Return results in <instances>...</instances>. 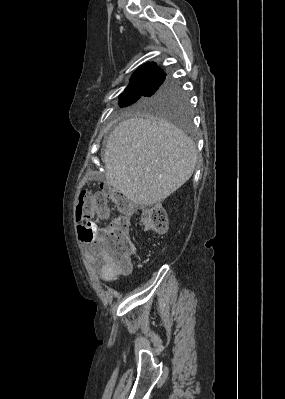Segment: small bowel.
I'll use <instances>...</instances> for the list:
<instances>
[{
  "label": "small bowel",
  "mask_w": 285,
  "mask_h": 399,
  "mask_svg": "<svg viewBox=\"0 0 285 399\" xmlns=\"http://www.w3.org/2000/svg\"><path fill=\"white\" fill-rule=\"evenodd\" d=\"M82 226H85L86 230H94L96 228L94 224H91L89 226L82 224ZM100 271H101V276L105 281H111L118 275V271L115 270V268L111 265V263L107 259H104V263L101 266Z\"/></svg>",
  "instance_id": "small-bowel-1"
}]
</instances>
